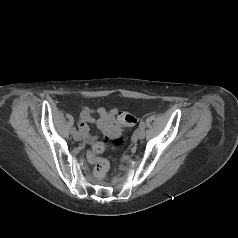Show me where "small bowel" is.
Returning a JSON list of instances; mask_svg holds the SVG:
<instances>
[{
  "label": "small bowel",
  "mask_w": 238,
  "mask_h": 238,
  "mask_svg": "<svg viewBox=\"0 0 238 238\" xmlns=\"http://www.w3.org/2000/svg\"><path fill=\"white\" fill-rule=\"evenodd\" d=\"M94 113L98 115L97 119L94 117ZM120 113L117 109L107 110L100 107L95 111L87 107H82L79 114V128L85 141L92 148L102 143L98 140V137L90 135L88 126L90 123H95L107 139H117L121 134L122 127L126 126L121 125L117 121V116Z\"/></svg>",
  "instance_id": "small-bowel-1"
}]
</instances>
